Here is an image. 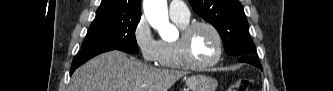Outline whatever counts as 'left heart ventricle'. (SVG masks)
<instances>
[{"mask_svg": "<svg viewBox=\"0 0 333 91\" xmlns=\"http://www.w3.org/2000/svg\"><path fill=\"white\" fill-rule=\"evenodd\" d=\"M193 59L205 63L214 59L218 52V44L214 34L205 27L195 30L191 41Z\"/></svg>", "mask_w": 333, "mask_h": 91, "instance_id": "left-heart-ventricle-1", "label": "left heart ventricle"}]
</instances>
